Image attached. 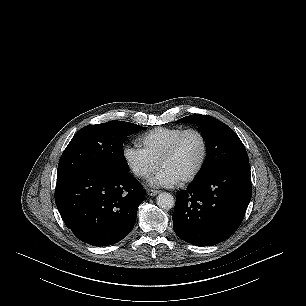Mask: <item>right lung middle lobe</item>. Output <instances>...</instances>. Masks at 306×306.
<instances>
[{
	"label": "right lung middle lobe",
	"instance_id": "1",
	"mask_svg": "<svg viewBox=\"0 0 306 306\" xmlns=\"http://www.w3.org/2000/svg\"><path fill=\"white\" fill-rule=\"evenodd\" d=\"M146 127L123 121L88 125L80 129L59 161L57 180L85 170L128 172L123 143Z\"/></svg>",
	"mask_w": 306,
	"mask_h": 306
}]
</instances>
